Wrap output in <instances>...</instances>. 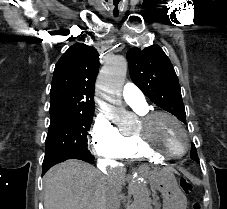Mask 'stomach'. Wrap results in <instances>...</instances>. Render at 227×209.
<instances>
[{
  "label": "stomach",
  "mask_w": 227,
  "mask_h": 209,
  "mask_svg": "<svg viewBox=\"0 0 227 209\" xmlns=\"http://www.w3.org/2000/svg\"><path fill=\"white\" fill-rule=\"evenodd\" d=\"M149 180L163 195V209H186L187 199L181 192L173 173L155 170L151 172Z\"/></svg>",
  "instance_id": "stomach-1"
}]
</instances>
